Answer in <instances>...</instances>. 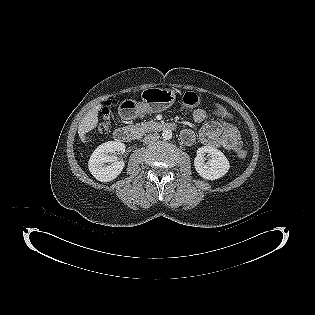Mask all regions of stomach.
Segmentation results:
<instances>
[{"mask_svg": "<svg viewBox=\"0 0 315 315\" xmlns=\"http://www.w3.org/2000/svg\"><path fill=\"white\" fill-rule=\"evenodd\" d=\"M176 95L173 90L153 88L145 90L142 94V102L125 100L121 103L118 114L124 120L135 119L141 112H161L175 102Z\"/></svg>", "mask_w": 315, "mask_h": 315, "instance_id": "obj_1", "label": "stomach"}]
</instances>
